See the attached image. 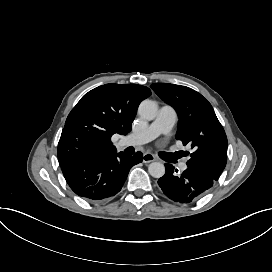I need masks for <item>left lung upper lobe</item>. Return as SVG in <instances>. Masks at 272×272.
<instances>
[{
	"label": "left lung upper lobe",
	"mask_w": 272,
	"mask_h": 272,
	"mask_svg": "<svg viewBox=\"0 0 272 272\" xmlns=\"http://www.w3.org/2000/svg\"><path fill=\"white\" fill-rule=\"evenodd\" d=\"M151 88L178 113L176 139L195 148L187 166L201 170L217 181L226 165L227 137L211 104L186 86L155 83Z\"/></svg>",
	"instance_id": "5c2ea615"
}]
</instances>
